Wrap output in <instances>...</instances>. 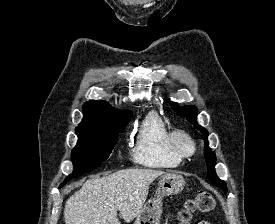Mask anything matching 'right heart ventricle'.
<instances>
[{
  "label": "right heart ventricle",
  "instance_id": "right-heart-ventricle-1",
  "mask_svg": "<svg viewBox=\"0 0 275 224\" xmlns=\"http://www.w3.org/2000/svg\"><path fill=\"white\" fill-rule=\"evenodd\" d=\"M170 133L169 127L157 113H148L132 139L134 162L149 168L178 167L182 159L170 148Z\"/></svg>",
  "mask_w": 275,
  "mask_h": 224
}]
</instances>
